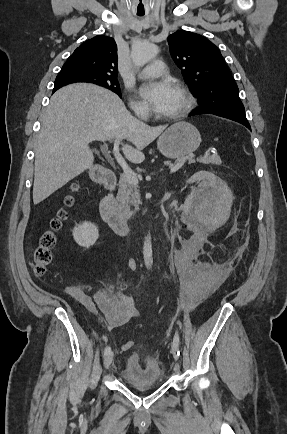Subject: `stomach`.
Returning a JSON list of instances; mask_svg holds the SVG:
<instances>
[{
	"label": "stomach",
	"mask_w": 287,
	"mask_h": 434,
	"mask_svg": "<svg viewBox=\"0 0 287 434\" xmlns=\"http://www.w3.org/2000/svg\"><path fill=\"white\" fill-rule=\"evenodd\" d=\"M201 143V135L192 124L178 122L167 128L159 137L157 147L168 158H181L194 152Z\"/></svg>",
	"instance_id": "0dacf381"
}]
</instances>
